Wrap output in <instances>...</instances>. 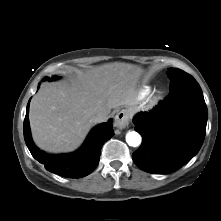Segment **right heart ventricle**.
<instances>
[{
	"label": "right heart ventricle",
	"instance_id": "1",
	"mask_svg": "<svg viewBox=\"0 0 221 221\" xmlns=\"http://www.w3.org/2000/svg\"><path fill=\"white\" fill-rule=\"evenodd\" d=\"M148 90H145L144 93H147Z\"/></svg>",
	"mask_w": 221,
	"mask_h": 221
}]
</instances>
